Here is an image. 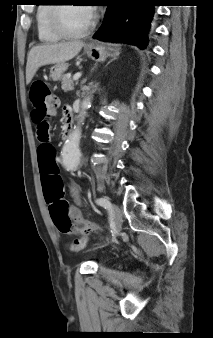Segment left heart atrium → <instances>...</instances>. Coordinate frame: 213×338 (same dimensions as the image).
<instances>
[{"instance_id": "left-heart-atrium-1", "label": "left heart atrium", "mask_w": 213, "mask_h": 338, "mask_svg": "<svg viewBox=\"0 0 213 338\" xmlns=\"http://www.w3.org/2000/svg\"><path fill=\"white\" fill-rule=\"evenodd\" d=\"M88 15L90 16V18H92L93 16V12L91 10L88 11Z\"/></svg>"}]
</instances>
